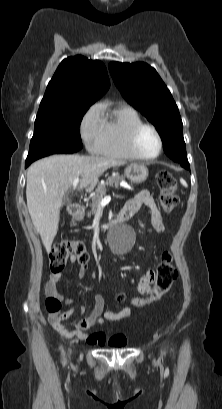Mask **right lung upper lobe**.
Returning <instances> with one entry per match:
<instances>
[{
    "label": "right lung upper lobe",
    "mask_w": 222,
    "mask_h": 409,
    "mask_svg": "<svg viewBox=\"0 0 222 409\" xmlns=\"http://www.w3.org/2000/svg\"><path fill=\"white\" fill-rule=\"evenodd\" d=\"M106 67L99 60L77 55L64 59L49 82L39 109L92 105L109 89Z\"/></svg>",
    "instance_id": "obj_1"
}]
</instances>
